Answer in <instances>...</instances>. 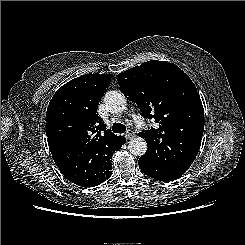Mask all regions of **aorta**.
Wrapping results in <instances>:
<instances>
[{
    "mask_svg": "<svg viewBox=\"0 0 245 245\" xmlns=\"http://www.w3.org/2000/svg\"><path fill=\"white\" fill-rule=\"evenodd\" d=\"M104 104L107 110L111 113H121L126 109V98L119 91H109L104 96ZM128 149L135 156H142L147 151V143L141 138L132 139L128 144Z\"/></svg>",
    "mask_w": 245,
    "mask_h": 245,
    "instance_id": "aorta-1",
    "label": "aorta"
}]
</instances>
